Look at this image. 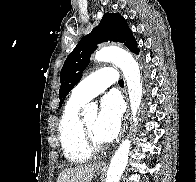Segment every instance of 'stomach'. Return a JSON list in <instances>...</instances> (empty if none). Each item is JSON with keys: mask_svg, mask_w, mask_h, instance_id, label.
Returning a JSON list of instances; mask_svg holds the SVG:
<instances>
[{"mask_svg": "<svg viewBox=\"0 0 196 182\" xmlns=\"http://www.w3.org/2000/svg\"><path fill=\"white\" fill-rule=\"evenodd\" d=\"M96 172H97L98 174H101V173H103V169H101L100 167H97V168H96Z\"/></svg>", "mask_w": 196, "mask_h": 182, "instance_id": "stomach-1", "label": "stomach"}]
</instances>
